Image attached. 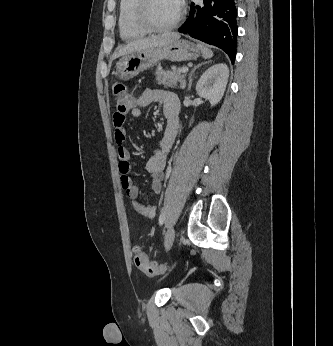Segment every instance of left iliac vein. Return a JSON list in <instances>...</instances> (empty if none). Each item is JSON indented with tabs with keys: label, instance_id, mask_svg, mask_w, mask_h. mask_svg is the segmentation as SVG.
Instances as JSON below:
<instances>
[{
	"label": "left iliac vein",
	"instance_id": "obj_1",
	"mask_svg": "<svg viewBox=\"0 0 333 346\" xmlns=\"http://www.w3.org/2000/svg\"><path fill=\"white\" fill-rule=\"evenodd\" d=\"M175 229L174 227H170L167 232H166V235H165V239H164V246H165V249L168 250L172 244H173V241H174V238H175Z\"/></svg>",
	"mask_w": 333,
	"mask_h": 346
}]
</instances>
